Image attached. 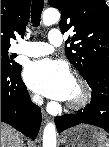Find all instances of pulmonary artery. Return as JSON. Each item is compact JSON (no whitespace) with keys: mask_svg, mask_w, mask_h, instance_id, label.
Segmentation results:
<instances>
[{"mask_svg":"<svg viewBox=\"0 0 109 147\" xmlns=\"http://www.w3.org/2000/svg\"><path fill=\"white\" fill-rule=\"evenodd\" d=\"M62 38L61 32L54 31L47 35V42H23L18 44L14 51L27 57L45 56L53 52V46H58L62 43Z\"/></svg>","mask_w":109,"mask_h":147,"instance_id":"obj_1","label":"pulmonary artery"}]
</instances>
